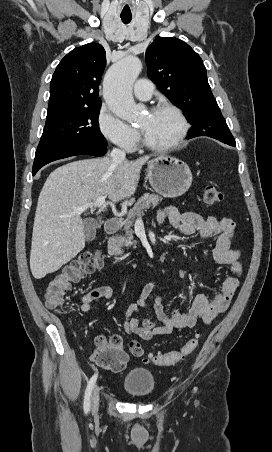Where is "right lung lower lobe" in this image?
Here are the masks:
<instances>
[{
	"instance_id": "obj_1",
	"label": "right lung lower lobe",
	"mask_w": 272,
	"mask_h": 452,
	"mask_svg": "<svg viewBox=\"0 0 272 452\" xmlns=\"http://www.w3.org/2000/svg\"><path fill=\"white\" fill-rule=\"evenodd\" d=\"M106 152V146L93 147L85 144H72L57 148L37 149L32 174L35 175L41 167L55 160L76 155H92L100 157Z\"/></svg>"
}]
</instances>
